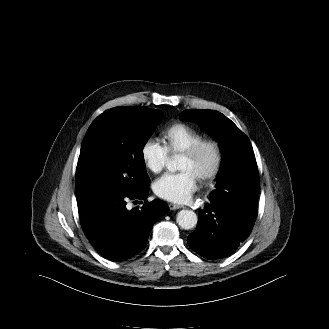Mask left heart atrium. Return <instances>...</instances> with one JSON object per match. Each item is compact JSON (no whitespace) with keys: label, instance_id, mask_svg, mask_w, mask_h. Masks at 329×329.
I'll return each mask as SVG.
<instances>
[{"label":"left heart atrium","instance_id":"1","mask_svg":"<svg viewBox=\"0 0 329 329\" xmlns=\"http://www.w3.org/2000/svg\"><path fill=\"white\" fill-rule=\"evenodd\" d=\"M157 196L174 203L187 201L197 189V177L190 170L167 173L153 185Z\"/></svg>","mask_w":329,"mask_h":329}]
</instances>
